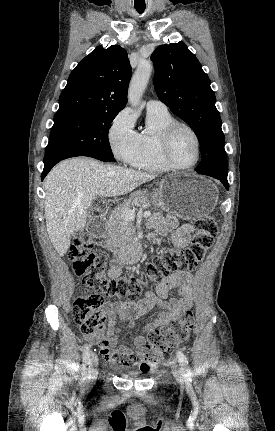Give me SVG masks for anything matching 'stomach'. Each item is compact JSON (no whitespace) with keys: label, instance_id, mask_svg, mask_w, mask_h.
<instances>
[{"label":"stomach","instance_id":"stomach-1","mask_svg":"<svg viewBox=\"0 0 275 431\" xmlns=\"http://www.w3.org/2000/svg\"><path fill=\"white\" fill-rule=\"evenodd\" d=\"M218 201V189L208 179L197 175L172 174L163 178L157 189L156 206L186 220L210 214Z\"/></svg>","mask_w":275,"mask_h":431}]
</instances>
